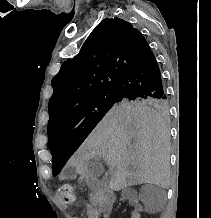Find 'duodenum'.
<instances>
[{"instance_id":"1","label":"duodenum","mask_w":211,"mask_h":218,"mask_svg":"<svg viewBox=\"0 0 211 218\" xmlns=\"http://www.w3.org/2000/svg\"><path fill=\"white\" fill-rule=\"evenodd\" d=\"M85 181L90 188L99 194V211L105 218H108L116 200L115 193L105 181L92 175H85Z\"/></svg>"}]
</instances>
